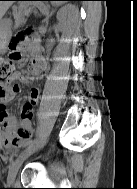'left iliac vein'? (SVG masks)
Returning a JSON list of instances; mask_svg holds the SVG:
<instances>
[{
  "label": "left iliac vein",
  "instance_id": "1",
  "mask_svg": "<svg viewBox=\"0 0 137 189\" xmlns=\"http://www.w3.org/2000/svg\"><path fill=\"white\" fill-rule=\"evenodd\" d=\"M46 143L44 140L39 146H33L25 150L21 155L17 157V159L13 162V164L9 168L8 176H7V184L13 185L18 174V171L23 164V162L30 157L39 147L43 146Z\"/></svg>",
  "mask_w": 137,
  "mask_h": 189
}]
</instances>
